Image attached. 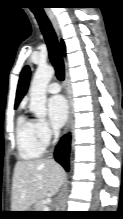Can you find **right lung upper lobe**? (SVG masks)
Here are the masks:
<instances>
[{"mask_svg":"<svg viewBox=\"0 0 123 219\" xmlns=\"http://www.w3.org/2000/svg\"><path fill=\"white\" fill-rule=\"evenodd\" d=\"M62 49L63 52L65 53V46L64 43L62 42ZM29 76H30V70L28 67H25L22 71L18 88H17V93H16V100H15V108H17L18 104L20 103L21 99L27 92L28 88V82H29Z\"/></svg>","mask_w":123,"mask_h":219,"instance_id":"obj_1","label":"right lung upper lobe"}]
</instances>
